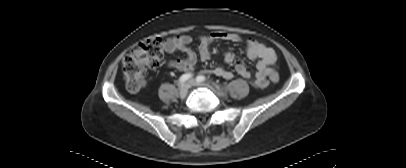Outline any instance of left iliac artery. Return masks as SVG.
<instances>
[{
    "instance_id": "obj_1",
    "label": "left iliac artery",
    "mask_w": 406,
    "mask_h": 168,
    "mask_svg": "<svg viewBox=\"0 0 406 168\" xmlns=\"http://www.w3.org/2000/svg\"><path fill=\"white\" fill-rule=\"evenodd\" d=\"M205 80H206L205 76H198V77L196 78V81H197V82H204Z\"/></svg>"
}]
</instances>
